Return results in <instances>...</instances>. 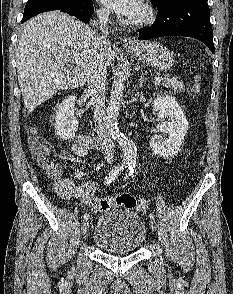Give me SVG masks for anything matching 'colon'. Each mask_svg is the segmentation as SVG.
<instances>
[{
	"label": "colon",
	"instance_id": "1",
	"mask_svg": "<svg viewBox=\"0 0 233 294\" xmlns=\"http://www.w3.org/2000/svg\"><path fill=\"white\" fill-rule=\"evenodd\" d=\"M194 88L198 89V83L195 84ZM30 150L37 159L41 160L43 164L49 169V171L56 175L58 173V169L56 166L51 164L48 159L49 148L48 146L39 141L36 138H32L30 141ZM92 208L95 210H108L113 206H120L126 208H137L140 211H145L147 209V204L145 201H141L137 204L136 199L128 193L121 194L114 198L113 200H94L91 202Z\"/></svg>",
	"mask_w": 233,
	"mask_h": 294
}]
</instances>
